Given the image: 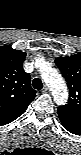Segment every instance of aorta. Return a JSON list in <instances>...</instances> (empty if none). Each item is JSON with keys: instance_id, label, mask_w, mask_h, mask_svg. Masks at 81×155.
Segmentation results:
<instances>
[{"instance_id": "762f6f07", "label": "aorta", "mask_w": 81, "mask_h": 155, "mask_svg": "<svg viewBox=\"0 0 81 155\" xmlns=\"http://www.w3.org/2000/svg\"><path fill=\"white\" fill-rule=\"evenodd\" d=\"M40 67L41 76L50 88L55 102L64 104L67 101L68 92L62 76L46 62H43Z\"/></svg>"}]
</instances>
